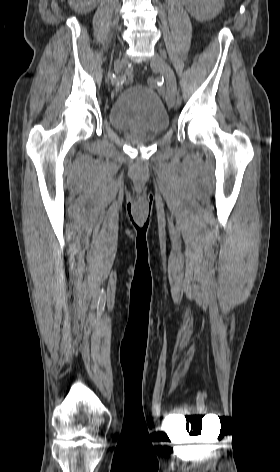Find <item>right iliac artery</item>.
Masks as SVG:
<instances>
[{
  "label": "right iliac artery",
  "instance_id": "right-iliac-artery-1",
  "mask_svg": "<svg viewBox=\"0 0 280 472\" xmlns=\"http://www.w3.org/2000/svg\"><path fill=\"white\" fill-rule=\"evenodd\" d=\"M132 72H133V67L131 66V64H129L126 69V74L128 76L127 80H130L132 78Z\"/></svg>",
  "mask_w": 280,
  "mask_h": 472
}]
</instances>
